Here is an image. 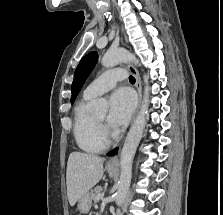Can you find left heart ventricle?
I'll list each match as a JSON object with an SVG mask.
<instances>
[{"instance_id": "1", "label": "left heart ventricle", "mask_w": 223, "mask_h": 215, "mask_svg": "<svg viewBox=\"0 0 223 215\" xmlns=\"http://www.w3.org/2000/svg\"><path fill=\"white\" fill-rule=\"evenodd\" d=\"M95 117L102 122L103 124L106 125L107 130H108V137L111 138V133H112V129L106 124V112H101L97 115H95Z\"/></svg>"}]
</instances>
